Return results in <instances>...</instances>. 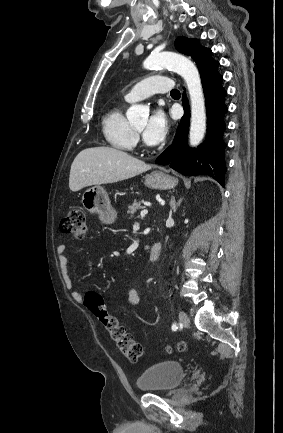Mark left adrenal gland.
I'll return each instance as SVG.
<instances>
[{
    "label": "left adrenal gland",
    "instance_id": "left-adrenal-gland-1",
    "mask_svg": "<svg viewBox=\"0 0 283 433\" xmlns=\"http://www.w3.org/2000/svg\"><path fill=\"white\" fill-rule=\"evenodd\" d=\"M180 202H182V198H180V200H178V202H175V196H172L171 200H170V206H171V210H173V212H175L177 206H179Z\"/></svg>",
    "mask_w": 283,
    "mask_h": 433
}]
</instances>
